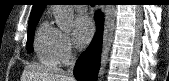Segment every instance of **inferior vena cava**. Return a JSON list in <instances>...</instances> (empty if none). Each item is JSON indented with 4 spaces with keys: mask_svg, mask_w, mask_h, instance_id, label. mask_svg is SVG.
Listing matches in <instances>:
<instances>
[{
    "mask_svg": "<svg viewBox=\"0 0 169 81\" xmlns=\"http://www.w3.org/2000/svg\"><path fill=\"white\" fill-rule=\"evenodd\" d=\"M74 65H75V56H72L71 58V62H70V66L67 70V75L73 77V69H74Z\"/></svg>",
    "mask_w": 169,
    "mask_h": 81,
    "instance_id": "1",
    "label": "inferior vena cava"
}]
</instances>
